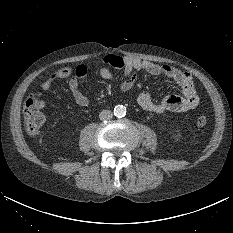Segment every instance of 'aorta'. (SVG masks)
Returning a JSON list of instances; mask_svg holds the SVG:
<instances>
[{
	"label": "aorta",
	"mask_w": 233,
	"mask_h": 233,
	"mask_svg": "<svg viewBox=\"0 0 233 233\" xmlns=\"http://www.w3.org/2000/svg\"><path fill=\"white\" fill-rule=\"evenodd\" d=\"M114 115L119 118L124 117L126 115V108L123 105H117L114 108Z\"/></svg>",
	"instance_id": "aorta-1"
}]
</instances>
